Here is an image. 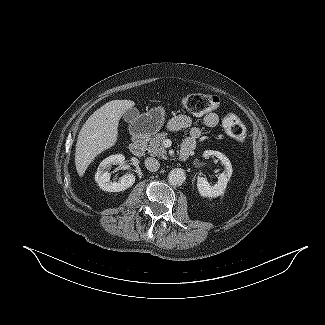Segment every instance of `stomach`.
<instances>
[{"label":"stomach","instance_id":"obj_1","mask_svg":"<svg viewBox=\"0 0 325 325\" xmlns=\"http://www.w3.org/2000/svg\"><path fill=\"white\" fill-rule=\"evenodd\" d=\"M164 121L165 112L157 107L138 116L132 123L131 131L136 136L153 135L162 128Z\"/></svg>","mask_w":325,"mask_h":325}]
</instances>
